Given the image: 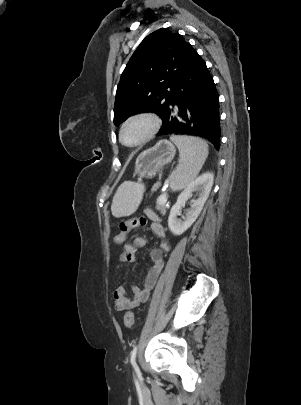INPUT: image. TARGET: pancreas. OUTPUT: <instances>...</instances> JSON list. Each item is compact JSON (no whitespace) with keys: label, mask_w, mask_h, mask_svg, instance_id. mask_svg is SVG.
<instances>
[{"label":"pancreas","mask_w":301,"mask_h":405,"mask_svg":"<svg viewBox=\"0 0 301 405\" xmlns=\"http://www.w3.org/2000/svg\"><path fill=\"white\" fill-rule=\"evenodd\" d=\"M156 209L159 210L162 214H164L166 212L165 203L157 200Z\"/></svg>","instance_id":"1"}]
</instances>
